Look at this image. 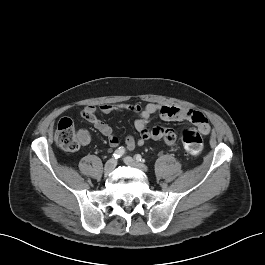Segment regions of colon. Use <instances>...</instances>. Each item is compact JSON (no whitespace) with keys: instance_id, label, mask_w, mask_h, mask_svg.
I'll list each match as a JSON object with an SVG mask.
<instances>
[{"instance_id":"5ec220e1","label":"colon","mask_w":265,"mask_h":265,"mask_svg":"<svg viewBox=\"0 0 265 265\" xmlns=\"http://www.w3.org/2000/svg\"><path fill=\"white\" fill-rule=\"evenodd\" d=\"M57 145L65 151L75 152L80 148L81 141L74 123L69 118H62L55 132ZM183 148L190 155H199L203 149V138L199 131L184 129L181 135Z\"/></svg>"}]
</instances>
